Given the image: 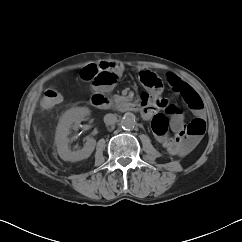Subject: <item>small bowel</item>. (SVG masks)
Wrapping results in <instances>:
<instances>
[{
    "instance_id": "small-bowel-1",
    "label": "small bowel",
    "mask_w": 242,
    "mask_h": 242,
    "mask_svg": "<svg viewBox=\"0 0 242 242\" xmlns=\"http://www.w3.org/2000/svg\"><path fill=\"white\" fill-rule=\"evenodd\" d=\"M103 68L112 70L117 73L118 77L123 73V67L115 62H103L101 65ZM145 73H152L150 71H142L140 73V78ZM178 83V86H173L174 83ZM168 83L170 87L175 91V89H178L181 85H187L184 81H182L177 75L170 74L168 77ZM112 89V85L108 86H95V90H101V91H109ZM201 99V98H200ZM143 112L142 116L146 120H153V118L157 115L154 108L160 107L162 108L166 114H162L167 123L168 127L171 128L173 132L172 138H167L164 136H158L160 142H162L164 145H166L168 148H170L174 153H177L178 155L185 156L189 154L199 143L202 135L192 134L190 130H194V122H200L202 126L206 129V119L204 115V109L203 104L201 101V106L199 108L192 109L194 112V119L191 121L190 124L186 125L184 123V117L181 110L174 104H169L165 101H163L158 94H145L143 95Z\"/></svg>"
}]
</instances>
